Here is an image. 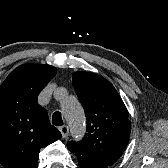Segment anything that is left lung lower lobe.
Here are the masks:
<instances>
[{"label": "left lung lower lobe", "instance_id": "left-lung-lower-lobe-1", "mask_svg": "<svg viewBox=\"0 0 168 168\" xmlns=\"http://www.w3.org/2000/svg\"><path fill=\"white\" fill-rule=\"evenodd\" d=\"M79 162V166L81 168H108L109 166L106 164H103L99 161H96L95 159L88 157L83 154H76Z\"/></svg>", "mask_w": 168, "mask_h": 168}]
</instances>
